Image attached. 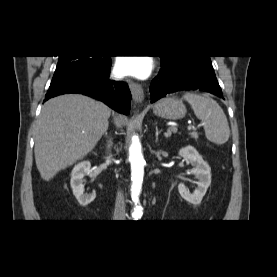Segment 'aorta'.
I'll return each instance as SVG.
<instances>
[{"mask_svg":"<svg viewBox=\"0 0 277 277\" xmlns=\"http://www.w3.org/2000/svg\"><path fill=\"white\" fill-rule=\"evenodd\" d=\"M129 160L131 163V197L134 202L138 201V197L141 192L143 176H144V165L145 160L141 151V144L137 137L132 138V143L129 147ZM142 215V208L137 206L133 212V217L138 218Z\"/></svg>","mask_w":277,"mask_h":277,"instance_id":"1","label":"aorta"}]
</instances>
